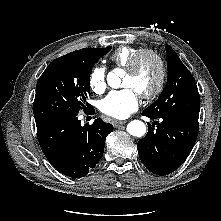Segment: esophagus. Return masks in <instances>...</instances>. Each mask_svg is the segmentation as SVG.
<instances>
[{"label":"esophagus","instance_id":"34e87169","mask_svg":"<svg viewBox=\"0 0 221 221\" xmlns=\"http://www.w3.org/2000/svg\"><path fill=\"white\" fill-rule=\"evenodd\" d=\"M125 123H126V121L115 120V121H113V126L114 127H119L120 125H124Z\"/></svg>","mask_w":221,"mask_h":221}]
</instances>
